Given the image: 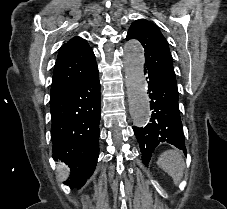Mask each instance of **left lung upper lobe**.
Returning a JSON list of instances; mask_svg holds the SVG:
<instances>
[{
  "label": "left lung upper lobe",
  "mask_w": 227,
  "mask_h": 209,
  "mask_svg": "<svg viewBox=\"0 0 227 209\" xmlns=\"http://www.w3.org/2000/svg\"><path fill=\"white\" fill-rule=\"evenodd\" d=\"M137 39L145 50V74H155L162 83L177 90L173 59L168 43L159 28L144 19L136 20L129 28L126 40Z\"/></svg>",
  "instance_id": "left-lung-upper-lobe-1"
}]
</instances>
